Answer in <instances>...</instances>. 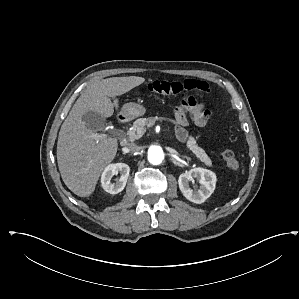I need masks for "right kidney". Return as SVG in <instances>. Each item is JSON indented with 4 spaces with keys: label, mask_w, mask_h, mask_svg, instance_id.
I'll list each match as a JSON object with an SVG mask.
<instances>
[{
    "label": "right kidney",
    "mask_w": 299,
    "mask_h": 299,
    "mask_svg": "<svg viewBox=\"0 0 299 299\" xmlns=\"http://www.w3.org/2000/svg\"><path fill=\"white\" fill-rule=\"evenodd\" d=\"M130 168L125 163H116L108 165L102 173L101 184L103 189L110 194H117L121 192L127 183ZM120 173V178L116 182L111 179L114 175Z\"/></svg>",
    "instance_id": "obj_1"
}]
</instances>
